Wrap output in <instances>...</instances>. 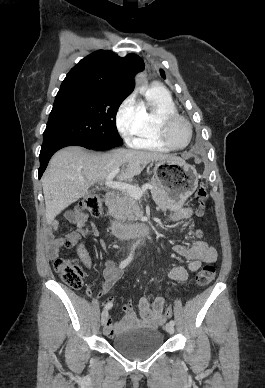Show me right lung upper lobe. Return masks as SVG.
I'll list each match as a JSON object with an SVG mask.
<instances>
[{
	"label": "right lung upper lobe",
	"instance_id": "obj_1",
	"mask_svg": "<svg viewBox=\"0 0 265 388\" xmlns=\"http://www.w3.org/2000/svg\"><path fill=\"white\" fill-rule=\"evenodd\" d=\"M143 69V60L135 54L121 58L111 51L99 50L71 69L59 92L110 91L130 95L134 76Z\"/></svg>",
	"mask_w": 265,
	"mask_h": 388
}]
</instances>
